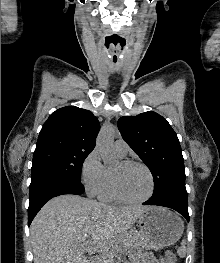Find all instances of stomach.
Wrapping results in <instances>:
<instances>
[{"mask_svg":"<svg viewBox=\"0 0 220 263\" xmlns=\"http://www.w3.org/2000/svg\"><path fill=\"white\" fill-rule=\"evenodd\" d=\"M141 244L147 248L166 247L176 243L183 234L184 224L172 211L151 207L139 216Z\"/></svg>","mask_w":220,"mask_h":263,"instance_id":"stomach-1","label":"stomach"}]
</instances>
